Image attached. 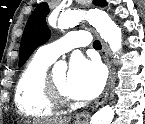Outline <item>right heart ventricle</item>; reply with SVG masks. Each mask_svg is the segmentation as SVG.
I'll return each mask as SVG.
<instances>
[{
	"instance_id": "e07e8e85",
	"label": "right heart ventricle",
	"mask_w": 145,
	"mask_h": 124,
	"mask_svg": "<svg viewBox=\"0 0 145 124\" xmlns=\"http://www.w3.org/2000/svg\"><path fill=\"white\" fill-rule=\"evenodd\" d=\"M51 63L37 54L21 72L14 96L21 115L28 118H45L54 115L56 107L47 99L44 90V78Z\"/></svg>"
}]
</instances>
